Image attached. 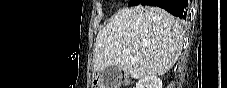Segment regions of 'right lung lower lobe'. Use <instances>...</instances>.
I'll list each match as a JSON object with an SVG mask.
<instances>
[{
    "label": "right lung lower lobe",
    "instance_id": "right-lung-lower-lobe-1",
    "mask_svg": "<svg viewBox=\"0 0 227 88\" xmlns=\"http://www.w3.org/2000/svg\"><path fill=\"white\" fill-rule=\"evenodd\" d=\"M139 4L157 6L180 19L187 18L188 0H141Z\"/></svg>",
    "mask_w": 227,
    "mask_h": 88
}]
</instances>
